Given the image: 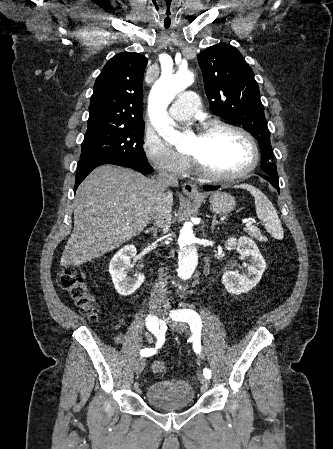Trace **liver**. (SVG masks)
<instances>
[{
  "instance_id": "liver-1",
  "label": "liver",
  "mask_w": 333,
  "mask_h": 449,
  "mask_svg": "<svg viewBox=\"0 0 333 449\" xmlns=\"http://www.w3.org/2000/svg\"><path fill=\"white\" fill-rule=\"evenodd\" d=\"M157 196V180L130 169L97 167L76 190L74 230L61 265L83 264L137 236L151 220ZM167 199L171 207L170 190Z\"/></svg>"
}]
</instances>
